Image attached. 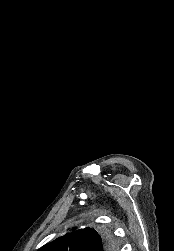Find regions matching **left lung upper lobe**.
I'll return each instance as SVG.
<instances>
[{"mask_svg": "<svg viewBox=\"0 0 174 251\" xmlns=\"http://www.w3.org/2000/svg\"><path fill=\"white\" fill-rule=\"evenodd\" d=\"M117 245L107 231L87 228L67 233L44 245L38 251H114Z\"/></svg>", "mask_w": 174, "mask_h": 251, "instance_id": "1", "label": "left lung upper lobe"}]
</instances>
